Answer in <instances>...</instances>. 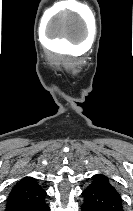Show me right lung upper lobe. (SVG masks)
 I'll use <instances>...</instances> for the list:
<instances>
[{"label": "right lung upper lobe", "mask_w": 133, "mask_h": 211, "mask_svg": "<svg viewBox=\"0 0 133 211\" xmlns=\"http://www.w3.org/2000/svg\"><path fill=\"white\" fill-rule=\"evenodd\" d=\"M46 192L32 177H24L12 188L6 202V211H16L41 201Z\"/></svg>", "instance_id": "right-lung-upper-lobe-1"}]
</instances>
